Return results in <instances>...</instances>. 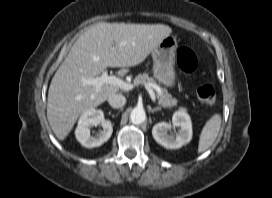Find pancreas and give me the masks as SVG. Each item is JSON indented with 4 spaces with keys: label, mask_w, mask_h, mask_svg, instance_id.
Returning <instances> with one entry per match:
<instances>
[{
    "label": "pancreas",
    "mask_w": 272,
    "mask_h": 198,
    "mask_svg": "<svg viewBox=\"0 0 272 198\" xmlns=\"http://www.w3.org/2000/svg\"><path fill=\"white\" fill-rule=\"evenodd\" d=\"M134 84L136 86L149 84L157 85L155 79L150 77L147 73L139 74L134 79ZM154 88V87H153ZM158 103L163 108H172L177 106V100L172 97L171 94L165 88L160 87V92H157ZM180 110H186L185 108L180 107Z\"/></svg>",
    "instance_id": "pancreas-1"
}]
</instances>
